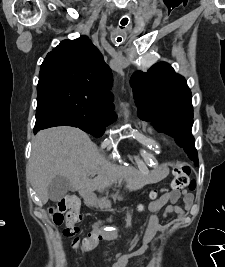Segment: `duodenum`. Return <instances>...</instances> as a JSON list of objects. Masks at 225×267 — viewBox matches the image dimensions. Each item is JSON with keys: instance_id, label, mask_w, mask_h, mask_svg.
Segmentation results:
<instances>
[{"instance_id": "1", "label": "duodenum", "mask_w": 225, "mask_h": 267, "mask_svg": "<svg viewBox=\"0 0 225 267\" xmlns=\"http://www.w3.org/2000/svg\"><path fill=\"white\" fill-rule=\"evenodd\" d=\"M86 196L88 198V202H91V200H92V194L91 193H88Z\"/></svg>"}]
</instances>
